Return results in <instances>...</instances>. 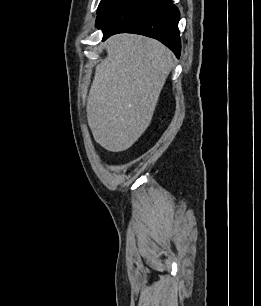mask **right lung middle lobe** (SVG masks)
Listing matches in <instances>:
<instances>
[{
	"instance_id": "obj_1",
	"label": "right lung middle lobe",
	"mask_w": 261,
	"mask_h": 306,
	"mask_svg": "<svg viewBox=\"0 0 261 306\" xmlns=\"http://www.w3.org/2000/svg\"><path fill=\"white\" fill-rule=\"evenodd\" d=\"M112 0H101L98 6L97 13H99L111 2Z\"/></svg>"
}]
</instances>
